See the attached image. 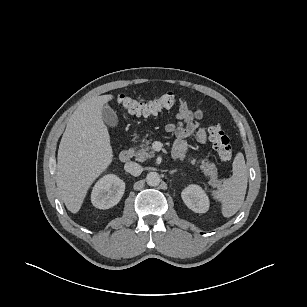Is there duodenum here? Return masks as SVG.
<instances>
[{
	"label": "duodenum",
	"mask_w": 307,
	"mask_h": 307,
	"mask_svg": "<svg viewBox=\"0 0 307 307\" xmlns=\"http://www.w3.org/2000/svg\"><path fill=\"white\" fill-rule=\"evenodd\" d=\"M132 156H133V151L130 149H127L120 153L119 159L121 162L126 163L131 160Z\"/></svg>",
	"instance_id": "1"
}]
</instances>
